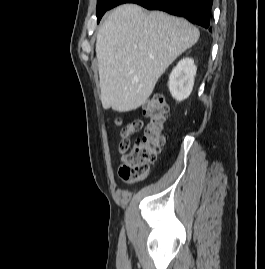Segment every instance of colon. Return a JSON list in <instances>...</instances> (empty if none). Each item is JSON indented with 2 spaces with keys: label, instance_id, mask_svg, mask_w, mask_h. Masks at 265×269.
<instances>
[{
  "label": "colon",
  "instance_id": "5ec220e1",
  "mask_svg": "<svg viewBox=\"0 0 265 269\" xmlns=\"http://www.w3.org/2000/svg\"><path fill=\"white\" fill-rule=\"evenodd\" d=\"M143 113L149 122L141 139L131 144V138L143 127L140 120L129 121L121 127L119 149L124 156L119 176L126 183H137L148 176L165 141L169 114L164 98L153 95L143 106Z\"/></svg>",
  "mask_w": 265,
  "mask_h": 269
}]
</instances>
